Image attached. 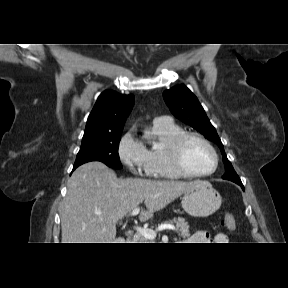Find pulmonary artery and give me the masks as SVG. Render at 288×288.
I'll return each instance as SVG.
<instances>
[{"label": "pulmonary artery", "mask_w": 288, "mask_h": 288, "mask_svg": "<svg viewBox=\"0 0 288 288\" xmlns=\"http://www.w3.org/2000/svg\"><path fill=\"white\" fill-rule=\"evenodd\" d=\"M155 121H158V122H169L171 120L167 116H160Z\"/></svg>", "instance_id": "obj_1"}]
</instances>
